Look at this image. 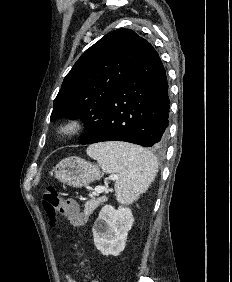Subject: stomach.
Returning a JSON list of instances; mask_svg holds the SVG:
<instances>
[{"label":"stomach","mask_w":232,"mask_h":282,"mask_svg":"<svg viewBox=\"0 0 232 282\" xmlns=\"http://www.w3.org/2000/svg\"><path fill=\"white\" fill-rule=\"evenodd\" d=\"M54 174L60 182L77 188L86 186L101 177L96 164L80 157L63 159L55 166Z\"/></svg>","instance_id":"stomach-1"}]
</instances>
